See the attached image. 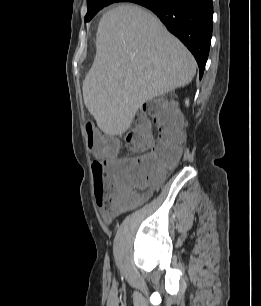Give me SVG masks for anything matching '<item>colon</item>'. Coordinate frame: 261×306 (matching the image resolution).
Instances as JSON below:
<instances>
[{
	"label": "colon",
	"mask_w": 261,
	"mask_h": 306,
	"mask_svg": "<svg viewBox=\"0 0 261 306\" xmlns=\"http://www.w3.org/2000/svg\"><path fill=\"white\" fill-rule=\"evenodd\" d=\"M152 124L159 131L156 140L152 135ZM85 131L95 153L113 157L109 166L98 160L92 163L99 207L107 211L129 201L133 188L159 184L166 170L177 163L181 154L182 120L171 106L158 99L149 102L126 136L130 148L141 153L138 157L118 159L113 155L116 149L114 139L97 136L91 125H87Z\"/></svg>",
	"instance_id": "1"
}]
</instances>
